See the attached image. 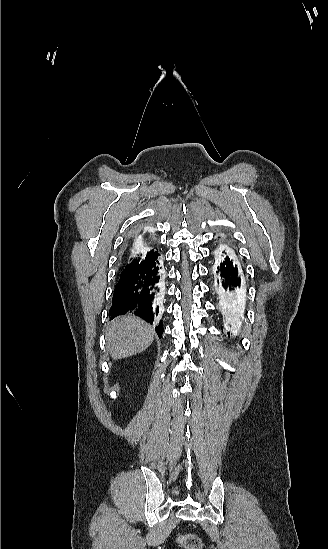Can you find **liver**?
<instances>
[{"mask_svg":"<svg viewBox=\"0 0 328 549\" xmlns=\"http://www.w3.org/2000/svg\"><path fill=\"white\" fill-rule=\"evenodd\" d=\"M154 333L146 323L134 315H124L111 321L107 327V349L112 359L132 357L152 345Z\"/></svg>","mask_w":328,"mask_h":549,"instance_id":"obj_1","label":"liver"}]
</instances>
